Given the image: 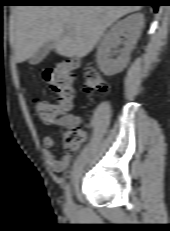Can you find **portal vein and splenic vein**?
I'll return each instance as SVG.
<instances>
[{
	"mask_svg": "<svg viewBox=\"0 0 170 231\" xmlns=\"http://www.w3.org/2000/svg\"><path fill=\"white\" fill-rule=\"evenodd\" d=\"M68 31L71 33V32H72V29L69 28Z\"/></svg>",
	"mask_w": 170,
	"mask_h": 231,
	"instance_id": "18ae733b",
	"label": "portal vein and splenic vein"
}]
</instances>
